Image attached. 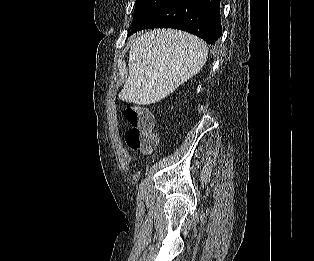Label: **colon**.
Segmentation results:
<instances>
[{
    "label": "colon",
    "mask_w": 314,
    "mask_h": 261,
    "mask_svg": "<svg viewBox=\"0 0 314 261\" xmlns=\"http://www.w3.org/2000/svg\"><path fill=\"white\" fill-rule=\"evenodd\" d=\"M124 117L130 125L125 133L127 146L133 151L148 152L157 140L151 111L143 106L128 104L124 107Z\"/></svg>",
    "instance_id": "1"
}]
</instances>
